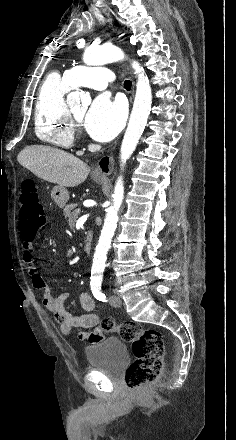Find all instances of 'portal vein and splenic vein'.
I'll use <instances>...</instances> for the list:
<instances>
[{
  "label": "portal vein and splenic vein",
  "mask_w": 236,
  "mask_h": 440,
  "mask_svg": "<svg viewBox=\"0 0 236 440\" xmlns=\"http://www.w3.org/2000/svg\"><path fill=\"white\" fill-rule=\"evenodd\" d=\"M80 211H81V210H80L79 208L75 210V212H76L77 215L80 213Z\"/></svg>",
  "instance_id": "portal-vein-and-splenic-vein-1"
}]
</instances>
